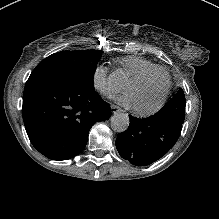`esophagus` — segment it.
<instances>
[{
  "label": "esophagus",
  "instance_id": "34e87169",
  "mask_svg": "<svg viewBox=\"0 0 219 219\" xmlns=\"http://www.w3.org/2000/svg\"><path fill=\"white\" fill-rule=\"evenodd\" d=\"M121 109L118 107V106H116V105H111V111H112V113H117V112H119Z\"/></svg>",
  "mask_w": 219,
  "mask_h": 219
}]
</instances>
